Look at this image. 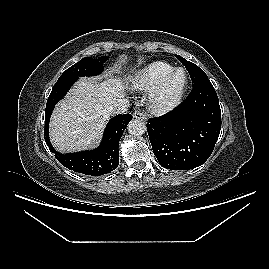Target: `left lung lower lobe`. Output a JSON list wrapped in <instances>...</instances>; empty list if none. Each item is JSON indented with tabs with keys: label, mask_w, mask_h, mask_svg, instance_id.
<instances>
[{
	"label": "left lung lower lobe",
	"mask_w": 269,
	"mask_h": 269,
	"mask_svg": "<svg viewBox=\"0 0 269 269\" xmlns=\"http://www.w3.org/2000/svg\"><path fill=\"white\" fill-rule=\"evenodd\" d=\"M220 130L221 110L210 80L194 85L178 107L147 123L159 164L171 170L202 165L211 155Z\"/></svg>",
	"instance_id": "left-lung-lower-lobe-1"
}]
</instances>
